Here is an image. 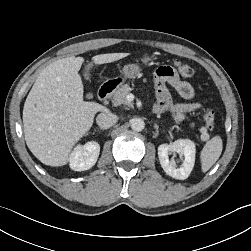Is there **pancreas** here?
<instances>
[{"instance_id":"obj_1","label":"pancreas","mask_w":251,"mask_h":251,"mask_svg":"<svg viewBox=\"0 0 251 251\" xmlns=\"http://www.w3.org/2000/svg\"><path fill=\"white\" fill-rule=\"evenodd\" d=\"M131 88L128 84H124L121 86V88L117 89L115 93L112 96V102L114 105H128L132 107V103L127 100V95L131 92ZM173 120L175 121L176 124H180L184 119L187 117L181 113L173 114L172 115ZM192 128L194 127V123L190 125Z\"/></svg>"}]
</instances>
